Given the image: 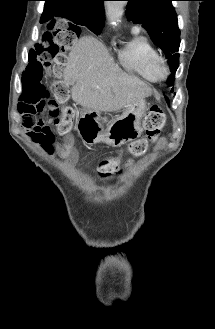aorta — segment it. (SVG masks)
I'll list each match as a JSON object with an SVG mask.
<instances>
[{
    "label": "aorta",
    "mask_w": 215,
    "mask_h": 329,
    "mask_svg": "<svg viewBox=\"0 0 215 329\" xmlns=\"http://www.w3.org/2000/svg\"><path fill=\"white\" fill-rule=\"evenodd\" d=\"M123 6L124 2L122 1H110L107 3V16L109 19V22L116 26L121 18L122 12H123Z\"/></svg>",
    "instance_id": "1"
}]
</instances>
